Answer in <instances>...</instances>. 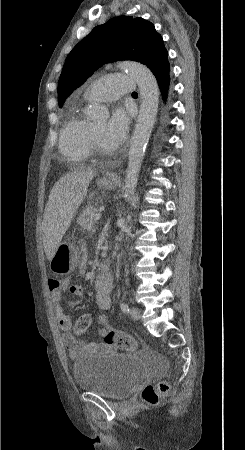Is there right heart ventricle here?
I'll return each mask as SVG.
<instances>
[{
	"instance_id": "right-heart-ventricle-1",
	"label": "right heart ventricle",
	"mask_w": 245,
	"mask_h": 450,
	"mask_svg": "<svg viewBox=\"0 0 245 450\" xmlns=\"http://www.w3.org/2000/svg\"><path fill=\"white\" fill-rule=\"evenodd\" d=\"M85 100L88 99L85 98ZM91 126L82 112L74 108L60 132L61 153L78 162L86 161L93 150L90 137Z\"/></svg>"
}]
</instances>
